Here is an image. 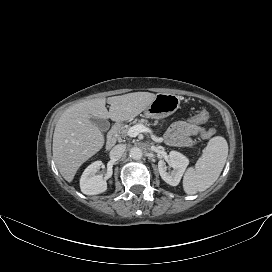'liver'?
Listing matches in <instances>:
<instances>
[{
    "label": "liver",
    "mask_w": 272,
    "mask_h": 272,
    "mask_svg": "<svg viewBox=\"0 0 272 272\" xmlns=\"http://www.w3.org/2000/svg\"><path fill=\"white\" fill-rule=\"evenodd\" d=\"M149 92L96 98L70 106L59 118L53 135V157L63 178L71 182L80 166L102 149L105 139L90 116L123 122L146 110L155 99Z\"/></svg>",
    "instance_id": "1"
}]
</instances>
